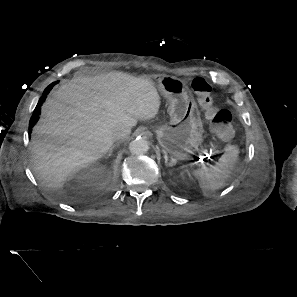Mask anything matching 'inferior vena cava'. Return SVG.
Instances as JSON below:
<instances>
[{"mask_svg":"<svg viewBox=\"0 0 297 297\" xmlns=\"http://www.w3.org/2000/svg\"><path fill=\"white\" fill-rule=\"evenodd\" d=\"M131 132L130 128L120 127L114 131L113 139L114 141H121L125 139Z\"/></svg>","mask_w":297,"mask_h":297,"instance_id":"602c4592","label":"inferior vena cava"}]
</instances>
